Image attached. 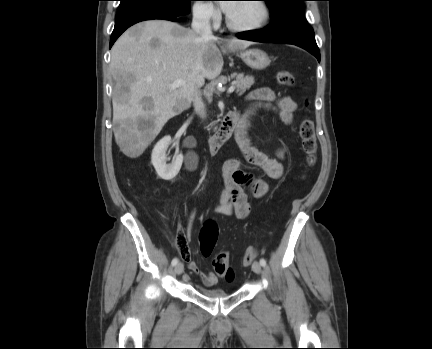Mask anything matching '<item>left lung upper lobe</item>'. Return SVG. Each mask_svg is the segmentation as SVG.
Returning <instances> with one entry per match:
<instances>
[{"mask_svg": "<svg viewBox=\"0 0 432 349\" xmlns=\"http://www.w3.org/2000/svg\"><path fill=\"white\" fill-rule=\"evenodd\" d=\"M269 6L274 23H307L304 16L305 0H264ZM254 31V30H252Z\"/></svg>", "mask_w": 432, "mask_h": 349, "instance_id": "obj_1", "label": "left lung upper lobe"}]
</instances>
